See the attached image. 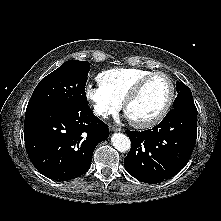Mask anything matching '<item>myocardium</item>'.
<instances>
[{"mask_svg":"<svg viewBox=\"0 0 221 221\" xmlns=\"http://www.w3.org/2000/svg\"><path fill=\"white\" fill-rule=\"evenodd\" d=\"M156 76H163L166 78V80L169 83L170 86V92H169V96L168 99L166 101V103L164 104L163 108L161 109V111L155 115L154 117L144 120V121H135L129 118L131 124L134 127L137 128H141V129H146V128H151L155 125H157L158 123H160L168 114L174 99H175V95H176V88H175V84L174 81L172 80V78L165 72L162 71H155V72H151L150 74L142 77L131 89V91L128 93V95L125 97V99L123 100V109L125 111V113L127 114V109L129 107V105L137 99V97L140 95V93L142 92L144 86L147 84V82L149 80H151L152 78L156 77Z\"/></svg>","mask_w":221,"mask_h":221,"instance_id":"obj_1","label":"myocardium"}]
</instances>
